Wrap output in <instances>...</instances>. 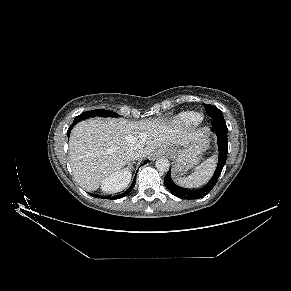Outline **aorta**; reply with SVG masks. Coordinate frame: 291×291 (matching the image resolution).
<instances>
[{"label": "aorta", "instance_id": "aorta-1", "mask_svg": "<svg viewBox=\"0 0 291 291\" xmlns=\"http://www.w3.org/2000/svg\"><path fill=\"white\" fill-rule=\"evenodd\" d=\"M156 168L160 172H166L169 169V161L166 158H159L155 162Z\"/></svg>", "mask_w": 291, "mask_h": 291}]
</instances>
